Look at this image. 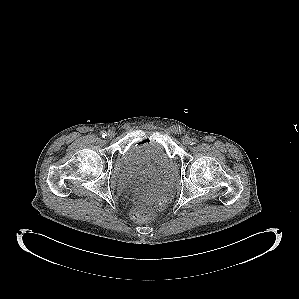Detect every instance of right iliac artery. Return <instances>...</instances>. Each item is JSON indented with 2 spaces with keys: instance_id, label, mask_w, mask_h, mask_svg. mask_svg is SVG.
Masks as SVG:
<instances>
[{
  "instance_id": "1",
  "label": "right iliac artery",
  "mask_w": 299,
  "mask_h": 299,
  "mask_svg": "<svg viewBox=\"0 0 299 299\" xmlns=\"http://www.w3.org/2000/svg\"><path fill=\"white\" fill-rule=\"evenodd\" d=\"M106 136V132H102V137L105 138Z\"/></svg>"
}]
</instances>
